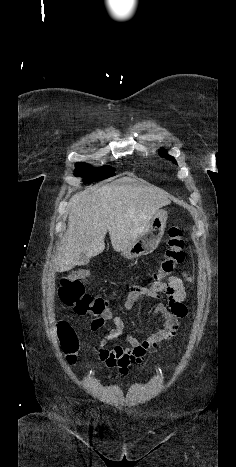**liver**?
<instances>
[{
    "label": "liver",
    "instance_id": "6515ba94",
    "mask_svg": "<svg viewBox=\"0 0 236 467\" xmlns=\"http://www.w3.org/2000/svg\"><path fill=\"white\" fill-rule=\"evenodd\" d=\"M170 203L165 191L130 177L74 196L70 202L67 231L58 248L55 271L66 272L81 265V254L91 258L102 253L107 231L115 251L127 249L145 230L153 215Z\"/></svg>",
    "mask_w": 236,
    "mask_h": 467
}]
</instances>
